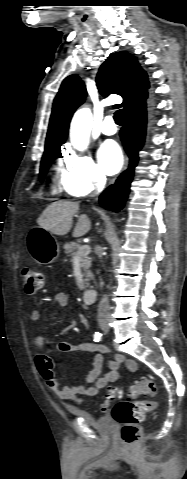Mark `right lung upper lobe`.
I'll list each match as a JSON object with an SVG mask.
<instances>
[{
	"label": "right lung upper lobe",
	"instance_id": "obj_1",
	"mask_svg": "<svg viewBox=\"0 0 187 479\" xmlns=\"http://www.w3.org/2000/svg\"><path fill=\"white\" fill-rule=\"evenodd\" d=\"M97 86L103 96L111 93L122 96L125 113L144 107L149 99L150 84L146 72L135 57L127 52L111 54L101 65ZM86 87L78 75L64 79L54 99L45 143V152L59 149L65 142L69 123L75 110L85 101Z\"/></svg>",
	"mask_w": 187,
	"mask_h": 479
}]
</instances>
